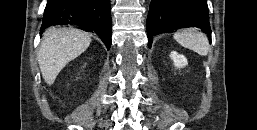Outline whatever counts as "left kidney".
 <instances>
[{"instance_id":"5707ae66","label":"left kidney","mask_w":257,"mask_h":130,"mask_svg":"<svg viewBox=\"0 0 257 130\" xmlns=\"http://www.w3.org/2000/svg\"><path fill=\"white\" fill-rule=\"evenodd\" d=\"M170 57L173 60L174 66L176 68H183L188 64V61L185 58V56L178 54L176 51H172Z\"/></svg>"}]
</instances>
